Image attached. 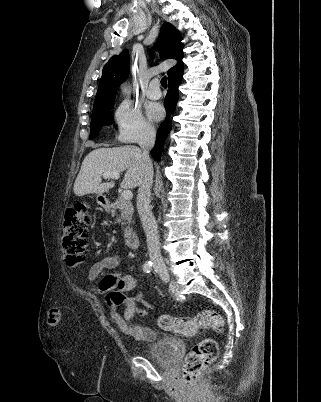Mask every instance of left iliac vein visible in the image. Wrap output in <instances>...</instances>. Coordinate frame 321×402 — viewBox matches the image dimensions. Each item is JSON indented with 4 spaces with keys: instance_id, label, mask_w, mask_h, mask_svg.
<instances>
[{
    "instance_id": "1",
    "label": "left iliac vein",
    "mask_w": 321,
    "mask_h": 402,
    "mask_svg": "<svg viewBox=\"0 0 321 402\" xmlns=\"http://www.w3.org/2000/svg\"><path fill=\"white\" fill-rule=\"evenodd\" d=\"M160 277L163 281L167 282L169 280V273L166 269L160 271Z\"/></svg>"
}]
</instances>
